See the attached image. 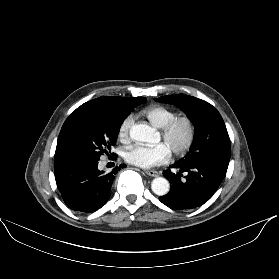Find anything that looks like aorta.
<instances>
[{"instance_id": "aorta-1", "label": "aorta", "mask_w": 279, "mask_h": 279, "mask_svg": "<svg viewBox=\"0 0 279 279\" xmlns=\"http://www.w3.org/2000/svg\"><path fill=\"white\" fill-rule=\"evenodd\" d=\"M130 137L136 142L154 143L156 141L155 130L146 124H135L130 129ZM152 191L159 196L169 192L170 184L166 178L157 177L151 183Z\"/></svg>"}]
</instances>
